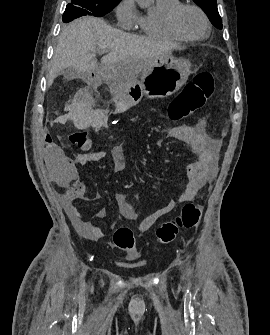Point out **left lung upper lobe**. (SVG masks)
I'll use <instances>...</instances> for the list:
<instances>
[{
  "mask_svg": "<svg viewBox=\"0 0 270 335\" xmlns=\"http://www.w3.org/2000/svg\"><path fill=\"white\" fill-rule=\"evenodd\" d=\"M196 4L207 14L211 23L218 29H222V19L217 9L216 0H194Z\"/></svg>",
  "mask_w": 270,
  "mask_h": 335,
  "instance_id": "1",
  "label": "left lung upper lobe"
}]
</instances>
